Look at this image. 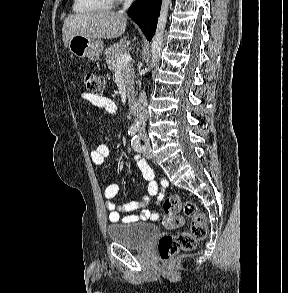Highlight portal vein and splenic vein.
<instances>
[{
	"instance_id": "portal-vein-and-splenic-vein-1",
	"label": "portal vein and splenic vein",
	"mask_w": 288,
	"mask_h": 293,
	"mask_svg": "<svg viewBox=\"0 0 288 293\" xmlns=\"http://www.w3.org/2000/svg\"><path fill=\"white\" fill-rule=\"evenodd\" d=\"M132 60L131 55L128 53L121 54L116 62L117 68L126 66Z\"/></svg>"
}]
</instances>
